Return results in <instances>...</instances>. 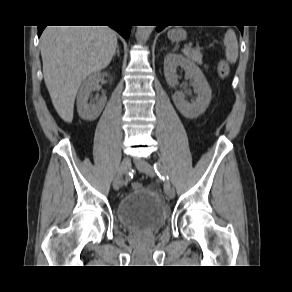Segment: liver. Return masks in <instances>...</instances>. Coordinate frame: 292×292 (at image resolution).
Instances as JSON below:
<instances>
[{
  "mask_svg": "<svg viewBox=\"0 0 292 292\" xmlns=\"http://www.w3.org/2000/svg\"><path fill=\"white\" fill-rule=\"evenodd\" d=\"M117 48L108 26H47L41 35L43 74L52 103L67 123L77 91L91 73L109 65Z\"/></svg>",
  "mask_w": 292,
  "mask_h": 292,
  "instance_id": "1",
  "label": "liver"
}]
</instances>
